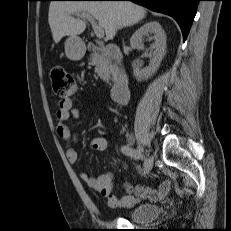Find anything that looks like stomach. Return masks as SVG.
Here are the masks:
<instances>
[{"mask_svg":"<svg viewBox=\"0 0 231 231\" xmlns=\"http://www.w3.org/2000/svg\"><path fill=\"white\" fill-rule=\"evenodd\" d=\"M86 47L78 36H69L65 41V53L68 59L79 61L85 55Z\"/></svg>","mask_w":231,"mask_h":231,"instance_id":"obj_1","label":"stomach"}]
</instances>
